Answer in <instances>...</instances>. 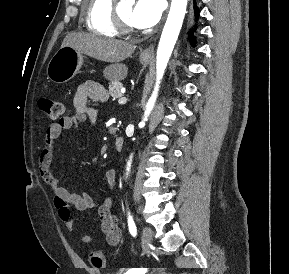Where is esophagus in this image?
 Instances as JSON below:
<instances>
[{"mask_svg": "<svg viewBox=\"0 0 289 274\" xmlns=\"http://www.w3.org/2000/svg\"><path fill=\"white\" fill-rule=\"evenodd\" d=\"M154 52V45L150 44L148 47H146L143 51H142V55L143 56H150L152 55Z\"/></svg>", "mask_w": 289, "mask_h": 274, "instance_id": "34e87169", "label": "esophagus"}]
</instances>
